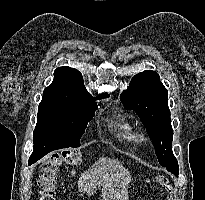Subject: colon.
<instances>
[{
  "mask_svg": "<svg viewBox=\"0 0 205 200\" xmlns=\"http://www.w3.org/2000/svg\"><path fill=\"white\" fill-rule=\"evenodd\" d=\"M81 161V153L74 148H67L55 153L45 161L40 171L41 200H54L56 179L62 165L75 168L80 165ZM158 179L164 188L170 191L168 179L164 176H159Z\"/></svg>",
  "mask_w": 205,
  "mask_h": 200,
  "instance_id": "5ec220e1",
  "label": "colon"
}]
</instances>
